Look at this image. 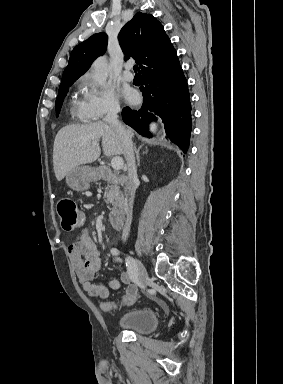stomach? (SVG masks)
Returning a JSON list of instances; mask_svg holds the SVG:
<instances>
[{
  "mask_svg": "<svg viewBox=\"0 0 283 384\" xmlns=\"http://www.w3.org/2000/svg\"><path fill=\"white\" fill-rule=\"evenodd\" d=\"M96 172L91 166H76L66 174L67 186L75 192H84L90 188V182H94Z\"/></svg>",
  "mask_w": 283,
  "mask_h": 384,
  "instance_id": "stomach-1",
  "label": "stomach"
}]
</instances>
